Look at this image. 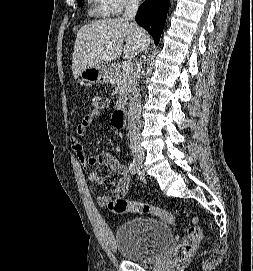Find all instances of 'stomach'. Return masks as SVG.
Masks as SVG:
<instances>
[{
  "label": "stomach",
  "instance_id": "0dacf381",
  "mask_svg": "<svg viewBox=\"0 0 253 271\" xmlns=\"http://www.w3.org/2000/svg\"><path fill=\"white\" fill-rule=\"evenodd\" d=\"M82 81L89 84L107 83L109 81V70L105 65L88 67L81 71Z\"/></svg>",
  "mask_w": 253,
  "mask_h": 271
}]
</instances>
